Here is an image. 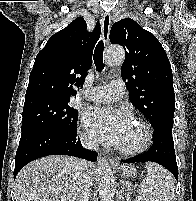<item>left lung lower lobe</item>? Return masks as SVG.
Masks as SVG:
<instances>
[{
    "mask_svg": "<svg viewBox=\"0 0 196 201\" xmlns=\"http://www.w3.org/2000/svg\"><path fill=\"white\" fill-rule=\"evenodd\" d=\"M152 161L168 169L178 180V167L174 151V142L172 137V128L154 131L153 144L151 149L141 155L131 159L123 160L124 163H135Z\"/></svg>",
    "mask_w": 196,
    "mask_h": 201,
    "instance_id": "1",
    "label": "left lung lower lobe"
}]
</instances>
